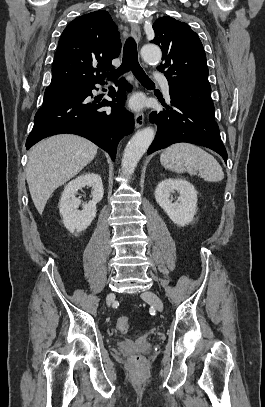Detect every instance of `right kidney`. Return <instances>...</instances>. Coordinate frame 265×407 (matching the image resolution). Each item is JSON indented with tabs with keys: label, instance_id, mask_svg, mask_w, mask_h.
<instances>
[{
	"label": "right kidney",
	"instance_id": "right-kidney-1",
	"mask_svg": "<svg viewBox=\"0 0 265 407\" xmlns=\"http://www.w3.org/2000/svg\"><path fill=\"white\" fill-rule=\"evenodd\" d=\"M85 186L92 187V200L78 210L81 201L75 197L77 191ZM104 189L101 177L96 173H86L69 182L59 201L62 222L67 230L74 233L88 228L96 216V204L103 198Z\"/></svg>",
	"mask_w": 265,
	"mask_h": 407
}]
</instances>
